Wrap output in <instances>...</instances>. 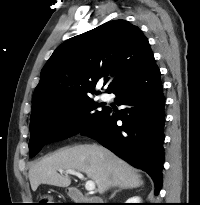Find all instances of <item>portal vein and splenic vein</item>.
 Wrapping results in <instances>:
<instances>
[{
    "label": "portal vein and splenic vein",
    "mask_w": 200,
    "mask_h": 205,
    "mask_svg": "<svg viewBox=\"0 0 200 205\" xmlns=\"http://www.w3.org/2000/svg\"><path fill=\"white\" fill-rule=\"evenodd\" d=\"M60 173H63L65 172L66 174H71V175H75L77 176L78 178H81V179H84V176L83 174H81L80 172L78 171H75V170H59ZM85 189L89 192H92L95 190V183L91 180H88L86 181L85 183Z\"/></svg>",
    "instance_id": "1"
}]
</instances>
